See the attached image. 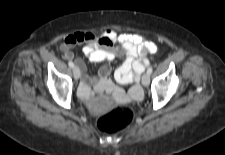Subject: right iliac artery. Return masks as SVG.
<instances>
[{"mask_svg": "<svg viewBox=\"0 0 225 155\" xmlns=\"http://www.w3.org/2000/svg\"><path fill=\"white\" fill-rule=\"evenodd\" d=\"M68 65L69 67L74 68V63L72 61H69Z\"/></svg>", "mask_w": 225, "mask_h": 155, "instance_id": "1", "label": "right iliac artery"}]
</instances>
